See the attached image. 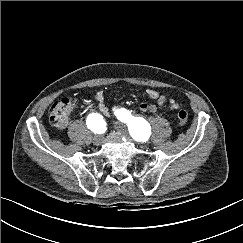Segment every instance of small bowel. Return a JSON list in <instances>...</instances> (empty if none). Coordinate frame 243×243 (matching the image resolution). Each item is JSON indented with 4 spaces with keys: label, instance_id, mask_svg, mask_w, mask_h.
<instances>
[{
    "label": "small bowel",
    "instance_id": "obj_1",
    "mask_svg": "<svg viewBox=\"0 0 243 243\" xmlns=\"http://www.w3.org/2000/svg\"><path fill=\"white\" fill-rule=\"evenodd\" d=\"M146 94L151 99L155 100L156 104H148L145 102L141 103L139 105V109L142 112H156L158 110L174 111L180 107L179 103H177L173 98L167 99L164 95L152 88L147 89ZM94 99L100 113L105 116L109 115V109L104 101L103 93H96Z\"/></svg>",
    "mask_w": 243,
    "mask_h": 243
}]
</instances>
